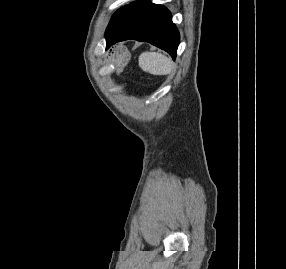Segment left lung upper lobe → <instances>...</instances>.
Instances as JSON below:
<instances>
[{"label": "left lung upper lobe", "instance_id": "1", "mask_svg": "<svg viewBox=\"0 0 286 269\" xmlns=\"http://www.w3.org/2000/svg\"><path fill=\"white\" fill-rule=\"evenodd\" d=\"M141 2H133L123 8H121L120 10H118L112 17L107 30L112 29L113 27H115L117 25V23L122 20L131 10H133L135 7H137Z\"/></svg>", "mask_w": 286, "mask_h": 269}]
</instances>
